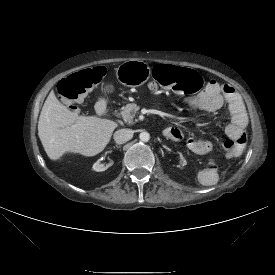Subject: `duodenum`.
I'll use <instances>...</instances> for the list:
<instances>
[{
    "instance_id": "410a0bca",
    "label": "duodenum",
    "mask_w": 275,
    "mask_h": 275,
    "mask_svg": "<svg viewBox=\"0 0 275 275\" xmlns=\"http://www.w3.org/2000/svg\"><path fill=\"white\" fill-rule=\"evenodd\" d=\"M107 109H108V106L105 98H99L95 104V110L97 114L101 116L106 113Z\"/></svg>"
}]
</instances>
